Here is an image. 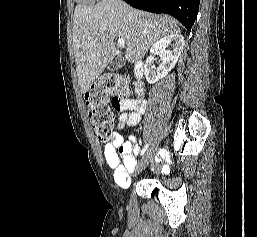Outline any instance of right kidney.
<instances>
[{"label":"right kidney","instance_id":"1","mask_svg":"<svg viewBox=\"0 0 257 237\" xmlns=\"http://www.w3.org/2000/svg\"><path fill=\"white\" fill-rule=\"evenodd\" d=\"M184 44L185 41L182 35L171 34L162 37L152 45L150 50L151 55L148 57L144 67L147 82L154 84L164 78L173 69L183 50ZM168 46H171L172 50H167L166 48ZM154 55H159L162 60V64L158 68H155L153 65Z\"/></svg>","mask_w":257,"mask_h":237}]
</instances>
